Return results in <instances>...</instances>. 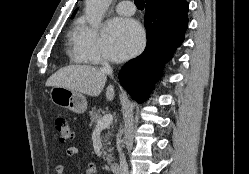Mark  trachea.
Listing matches in <instances>:
<instances>
[{
  "instance_id": "1",
  "label": "trachea",
  "mask_w": 249,
  "mask_h": 174,
  "mask_svg": "<svg viewBox=\"0 0 249 174\" xmlns=\"http://www.w3.org/2000/svg\"><path fill=\"white\" fill-rule=\"evenodd\" d=\"M134 2L138 9H144L145 5L144 0H135Z\"/></svg>"
}]
</instances>
